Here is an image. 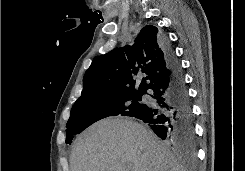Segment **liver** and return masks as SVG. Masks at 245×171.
<instances>
[{"label": "liver", "mask_w": 245, "mask_h": 171, "mask_svg": "<svg viewBox=\"0 0 245 171\" xmlns=\"http://www.w3.org/2000/svg\"><path fill=\"white\" fill-rule=\"evenodd\" d=\"M71 171H185L143 125L123 118L96 122L80 134Z\"/></svg>", "instance_id": "6515ba94"}]
</instances>
